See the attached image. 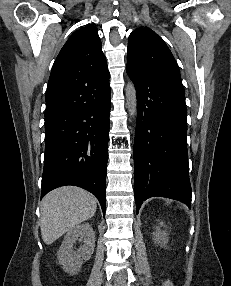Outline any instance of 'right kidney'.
I'll use <instances>...</instances> for the list:
<instances>
[{"label":"right kidney","mask_w":231,"mask_h":286,"mask_svg":"<svg viewBox=\"0 0 231 286\" xmlns=\"http://www.w3.org/2000/svg\"><path fill=\"white\" fill-rule=\"evenodd\" d=\"M77 240L82 245L74 251L73 244ZM94 247L95 233L90 224L84 223L67 232L57 252V258L65 272L72 275L77 274L83 261H88L91 258Z\"/></svg>","instance_id":"obj_1"}]
</instances>
